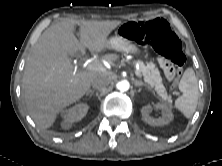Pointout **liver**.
Instances as JSON below:
<instances>
[{
	"label": "liver",
	"mask_w": 222,
	"mask_h": 166,
	"mask_svg": "<svg viewBox=\"0 0 222 166\" xmlns=\"http://www.w3.org/2000/svg\"><path fill=\"white\" fill-rule=\"evenodd\" d=\"M80 25V41L74 35ZM121 21L66 19L47 28L27 58L22 79L26 108L42 130L53 125L58 113L78 101L98 78L95 71H79L69 56L84 54L85 49L99 53L108 47L109 34ZM117 55H105L112 62Z\"/></svg>",
	"instance_id": "liver-1"
}]
</instances>
